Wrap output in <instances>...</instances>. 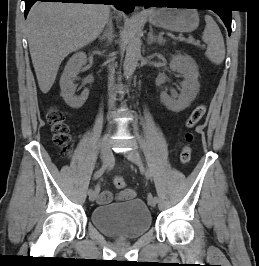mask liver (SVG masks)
Returning a JSON list of instances; mask_svg holds the SVG:
<instances>
[{"label":"liver","mask_w":259,"mask_h":266,"mask_svg":"<svg viewBox=\"0 0 259 266\" xmlns=\"http://www.w3.org/2000/svg\"><path fill=\"white\" fill-rule=\"evenodd\" d=\"M103 4L36 2L27 17L30 55L39 88L48 93L64 58L93 42L108 21Z\"/></svg>","instance_id":"6515ba94"}]
</instances>
